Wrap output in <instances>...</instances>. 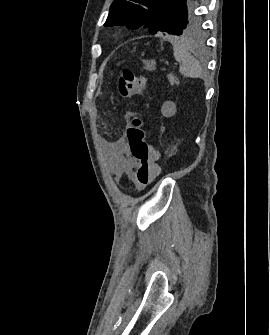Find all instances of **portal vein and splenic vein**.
<instances>
[{"label":"portal vein and splenic vein","instance_id":"portal-vein-and-splenic-vein-1","mask_svg":"<svg viewBox=\"0 0 270 335\" xmlns=\"http://www.w3.org/2000/svg\"><path fill=\"white\" fill-rule=\"evenodd\" d=\"M177 66H181V63H177Z\"/></svg>","mask_w":270,"mask_h":335}]
</instances>
